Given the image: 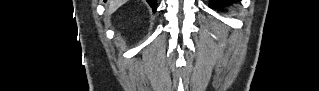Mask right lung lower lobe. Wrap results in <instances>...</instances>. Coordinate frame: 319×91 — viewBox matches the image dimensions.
<instances>
[{
  "label": "right lung lower lobe",
  "instance_id": "obj_1",
  "mask_svg": "<svg viewBox=\"0 0 319 91\" xmlns=\"http://www.w3.org/2000/svg\"><path fill=\"white\" fill-rule=\"evenodd\" d=\"M150 7L152 8L153 12L157 9V1L156 0H146Z\"/></svg>",
  "mask_w": 319,
  "mask_h": 91
}]
</instances>
